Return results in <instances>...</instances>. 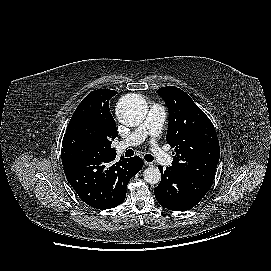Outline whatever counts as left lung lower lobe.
Segmentation results:
<instances>
[{
    "instance_id": "left-lung-lower-lobe-1",
    "label": "left lung lower lobe",
    "mask_w": 271,
    "mask_h": 271,
    "mask_svg": "<svg viewBox=\"0 0 271 271\" xmlns=\"http://www.w3.org/2000/svg\"><path fill=\"white\" fill-rule=\"evenodd\" d=\"M161 172V182L154 189L158 203L174 211H186L194 207L209 191V185L192 175L171 166Z\"/></svg>"
}]
</instances>
